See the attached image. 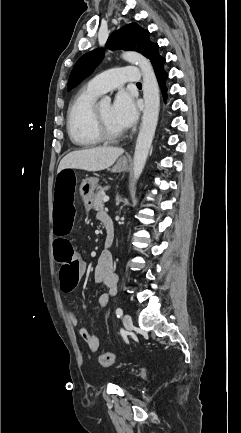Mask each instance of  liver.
Returning a JSON list of instances; mask_svg holds the SVG:
<instances>
[{"mask_svg": "<svg viewBox=\"0 0 241 433\" xmlns=\"http://www.w3.org/2000/svg\"><path fill=\"white\" fill-rule=\"evenodd\" d=\"M123 152L122 148L116 147H96L73 151L60 161L58 172L64 168L101 171L113 165Z\"/></svg>", "mask_w": 241, "mask_h": 433, "instance_id": "1", "label": "liver"}]
</instances>
